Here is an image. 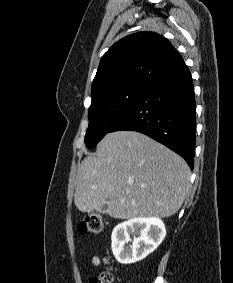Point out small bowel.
Here are the masks:
<instances>
[{
    "label": "small bowel",
    "instance_id": "small-bowel-1",
    "mask_svg": "<svg viewBox=\"0 0 233 283\" xmlns=\"http://www.w3.org/2000/svg\"><path fill=\"white\" fill-rule=\"evenodd\" d=\"M92 263H93V265H95V266L99 265V263H100L99 257L95 256V257L92 259Z\"/></svg>",
    "mask_w": 233,
    "mask_h": 283
}]
</instances>
